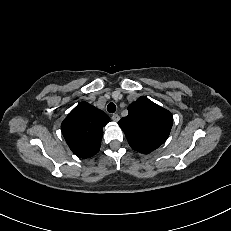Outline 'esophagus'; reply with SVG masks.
I'll use <instances>...</instances> for the list:
<instances>
[{
    "instance_id": "obj_1",
    "label": "esophagus",
    "mask_w": 231,
    "mask_h": 231,
    "mask_svg": "<svg viewBox=\"0 0 231 231\" xmlns=\"http://www.w3.org/2000/svg\"><path fill=\"white\" fill-rule=\"evenodd\" d=\"M111 118L113 121L118 122L120 119V116L118 114H113Z\"/></svg>"
}]
</instances>
